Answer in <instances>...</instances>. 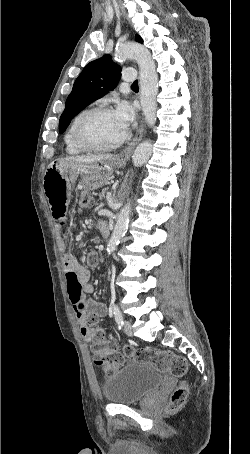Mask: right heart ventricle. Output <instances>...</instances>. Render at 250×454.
Wrapping results in <instances>:
<instances>
[{"label": "right heart ventricle", "instance_id": "obj_1", "mask_svg": "<svg viewBox=\"0 0 250 454\" xmlns=\"http://www.w3.org/2000/svg\"><path fill=\"white\" fill-rule=\"evenodd\" d=\"M82 113H79L78 115H76L74 117V119L69 124V126L65 132V135H64L65 149H66V152L69 154H80L84 151L75 145V143L73 142V138H72L74 125Z\"/></svg>", "mask_w": 250, "mask_h": 454}]
</instances>
